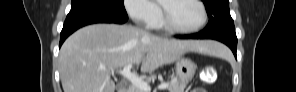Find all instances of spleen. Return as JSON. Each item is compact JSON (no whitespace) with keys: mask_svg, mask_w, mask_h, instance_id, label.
I'll use <instances>...</instances> for the list:
<instances>
[{"mask_svg":"<svg viewBox=\"0 0 296 92\" xmlns=\"http://www.w3.org/2000/svg\"><path fill=\"white\" fill-rule=\"evenodd\" d=\"M213 55L221 58H226V59L230 58V54L226 51L225 47L222 45L217 48L216 52Z\"/></svg>","mask_w":296,"mask_h":92,"instance_id":"spleen-1","label":"spleen"}]
</instances>
